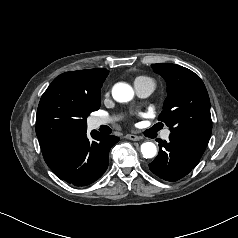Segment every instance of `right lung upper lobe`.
<instances>
[{
  "label": "right lung upper lobe",
  "mask_w": 238,
  "mask_h": 238,
  "mask_svg": "<svg viewBox=\"0 0 238 238\" xmlns=\"http://www.w3.org/2000/svg\"><path fill=\"white\" fill-rule=\"evenodd\" d=\"M107 69L66 72L56 77L41 97L36 134L41 149L50 147L73 130L82 128L81 102L100 96Z\"/></svg>",
  "instance_id": "1"
}]
</instances>
